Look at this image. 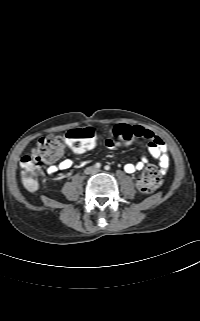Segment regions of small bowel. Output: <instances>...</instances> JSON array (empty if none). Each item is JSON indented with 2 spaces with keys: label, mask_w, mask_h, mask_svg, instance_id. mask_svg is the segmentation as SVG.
<instances>
[{
  "label": "small bowel",
  "mask_w": 200,
  "mask_h": 321,
  "mask_svg": "<svg viewBox=\"0 0 200 321\" xmlns=\"http://www.w3.org/2000/svg\"><path fill=\"white\" fill-rule=\"evenodd\" d=\"M133 128L138 133V137L147 139L149 141L148 153L153 159L158 161L161 171L164 173L167 170L170 161L167 146L164 143V141L149 129L143 128L141 126H133ZM106 146L109 149H114L117 146V143L113 139H108L106 141ZM62 152L51 161L46 162L48 164V167L46 169L47 174H55L60 170H67L72 167L73 162L71 159L68 158L61 159L56 164V162L61 158ZM75 152L79 153L77 151ZM147 163L148 157L143 156L138 162L125 164L124 170L126 173L133 174L137 171L143 170Z\"/></svg>",
  "instance_id": "small-bowel-1"
}]
</instances>
